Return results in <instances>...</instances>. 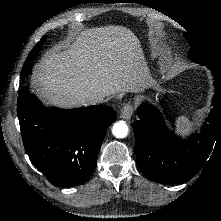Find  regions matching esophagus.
Returning <instances> with one entry per match:
<instances>
[{"instance_id":"1","label":"esophagus","mask_w":221,"mask_h":221,"mask_svg":"<svg viewBox=\"0 0 221 221\" xmlns=\"http://www.w3.org/2000/svg\"><path fill=\"white\" fill-rule=\"evenodd\" d=\"M134 112L132 104L126 103L121 109V118L125 120H130Z\"/></svg>"}]
</instances>
